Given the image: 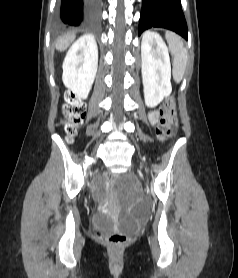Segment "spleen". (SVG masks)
<instances>
[{"label":"spleen","mask_w":238,"mask_h":278,"mask_svg":"<svg viewBox=\"0 0 238 278\" xmlns=\"http://www.w3.org/2000/svg\"><path fill=\"white\" fill-rule=\"evenodd\" d=\"M166 40L173 56V77L174 80L179 83L184 75L188 54L184 48L181 37L173 32L166 33Z\"/></svg>","instance_id":"3e777b00"}]
</instances>
